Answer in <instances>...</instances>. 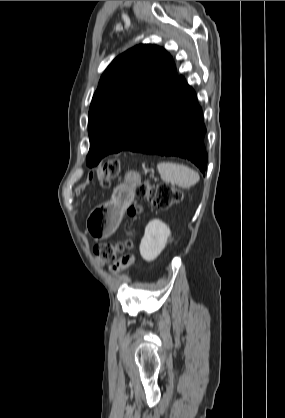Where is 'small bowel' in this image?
I'll use <instances>...</instances> for the list:
<instances>
[{
  "mask_svg": "<svg viewBox=\"0 0 285 418\" xmlns=\"http://www.w3.org/2000/svg\"><path fill=\"white\" fill-rule=\"evenodd\" d=\"M120 261H121V260H119L117 263H115V264L113 265V267H112V269H113V270H115V269H116V267L119 265Z\"/></svg>",
  "mask_w": 285,
  "mask_h": 418,
  "instance_id": "obj_1",
  "label": "small bowel"
}]
</instances>
